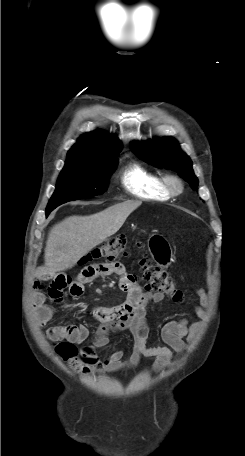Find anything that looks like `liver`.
Returning a JSON list of instances; mask_svg holds the SVG:
<instances>
[{"mask_svg": "<svg viewBox=\"0 0 245 456\" xmlns=\"http://www.w3.org/2000/svg\"><path fill=\"white\" fill-rule=\"evenodd\" d=\"M141 201L128 200L89 216H70L52 227L45 247V265L38 276L74 267L94 247L114 235Z\"/></svg>", "mask_w": 245, "mask_h": 456, "instance_id": "6515ba94", "label": "liver"}]
</instances>
